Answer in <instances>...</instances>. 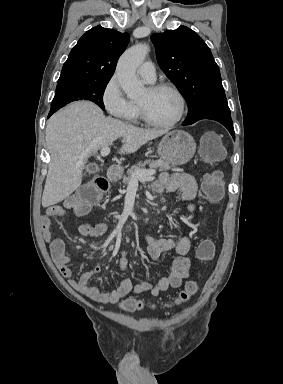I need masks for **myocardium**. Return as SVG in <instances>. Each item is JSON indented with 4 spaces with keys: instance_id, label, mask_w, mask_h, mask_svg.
<instances>
[{
    "instance_id": "1",
    "label": "myocardium",
    "mask_w": 283,
    "mask_h": 384,
    "mask_svg": "<svg viewBox=\"0 0 283 384\" xmlns=\"http://www.w3.org/2000/svg\"><path fill=\"white\" fill-rule=\"evenodd\" d=\"M149 88L152 91L168 90V91L172 92L178 101V113L173 120H171L167 123H159V122H156V121H153L152 119H150L148 117V115L146 114L143 106L140 103H138V111H139V116H140L141 120L147 126L152 127V128H156V129H170V128L174 127L175 125H177L182 120L184 113H185V99H184V96L182 95V93L180 92V90L176 86H174L170 83H167V82L152 84L149 86Z\"/></svg>"
}]
</instances>
